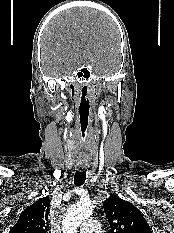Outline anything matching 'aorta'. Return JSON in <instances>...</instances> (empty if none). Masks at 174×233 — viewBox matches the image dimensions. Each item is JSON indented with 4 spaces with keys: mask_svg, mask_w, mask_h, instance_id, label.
<instances>
[{
    "mask_svg": "<svg viewBox=\"0 0 174 233\" xmlns=\"http://www.w3.org/2000/svg\"><path fill=\"white\" fill-rule=\"evenodd\" d=\"M93 212L89 202H78L72 205L66 212L62 221L63 233H77L78 227L83 220L88 218Z\"/></svg>",
    "mask_w": 174,
    "mask_h": 233,
    "instance_id": "762f6f07",
    "label": "aorta"
}]
</instances>
